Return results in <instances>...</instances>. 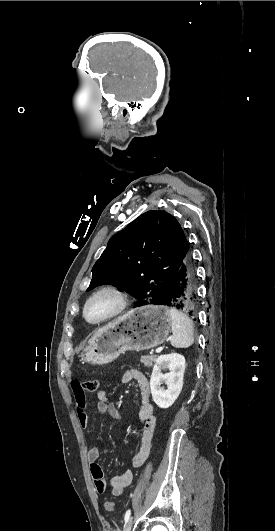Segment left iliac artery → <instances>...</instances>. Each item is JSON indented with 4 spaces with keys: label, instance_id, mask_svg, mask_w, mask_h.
<instances>
[{
    "label": "left iliac artery",
    "instance_id": "44dca946",
    "mask_svg": "<svg viewBox=\"0 0 275 531\" xmlns=\"http://www.w3.org/2000/svg\"><path fill=\"white\" fill-rule=\"evenodd\" d=\"M130 515H131V511L130 510H127V512L125 513V522H128L129 518H130Z\"/></svg>",
    "mask_w": 275,
    "mask_h": 531
}]
</instances>
